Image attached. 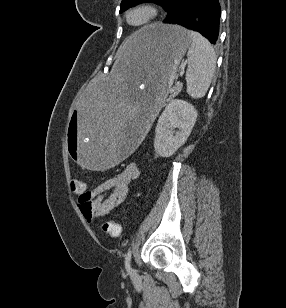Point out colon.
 Here are the masks:
<instances>
[{
    "mask_svg": "<svg viewBox=\"0 0 286 308\" xmlns=\"http://www.w3.org/2000/svg\"><path fill=\"white\" fill-rule=\"evenodd\" d=\"M85 189V182L81 179H72L71 190L74 193L83 192ZM102 231L110 237H119L121 235V226L114 221H104L101 224Z\"/></svg>",
    "mask_w": 286,
    "mask_h": 308,
    "instance_id": "5ec220e1",
    "label": "colon"
}]
</instances>
